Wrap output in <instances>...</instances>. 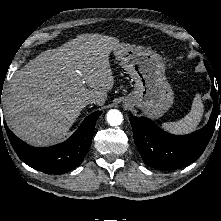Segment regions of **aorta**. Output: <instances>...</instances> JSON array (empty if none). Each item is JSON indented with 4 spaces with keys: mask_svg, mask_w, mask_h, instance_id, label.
I'll use <instances>...</instances> for the list:
<instances>
[{
    "mask_svg": "<svg viewBox=\"0 0 221 221\" xmlns=\"http://www.w3.org/2000/svg\"><path fill=\"white\" fill-rule=\"evenodd\" d=\"M123 121V115L119 110L112 109L107 112V122L111 126H118Z\"/></svg>",
    "mask_w": 221,
    "mask_h": 221,
    "instance_id": "1",
    "label": "aorta"
}]
</instances>
